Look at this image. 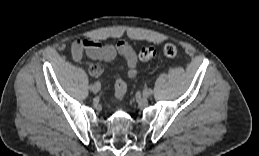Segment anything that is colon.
<instances>
[{"mask_svg":"<svg viewBox=\"0 0 259 156\" xmlns=\"http://www.w3.org/2000/svg\"><path fill=\"white\" fill-rule=\"evenodd\" d=\"M162 52L165 57L173 58L177 55L178 49H177L176 45H174L172 43H167L163 47ZM155 55H156V51L152 47H144L139 52V58L141 61H149V60L153 59L155 57ZM126 93H127V85H126L125 81L121 78H118L115 82L116 97L119 100H122L125 97Z\"/></svg>","mask_w":259,"mask_h":156,"instance_id":"5ec220e1","label":"colon"}]
</instances>
